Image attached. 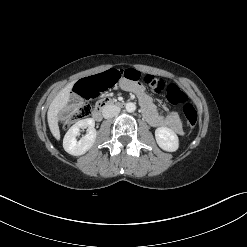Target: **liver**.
Segmentation results:
<instances>
[{
    "instance_id": "liver-1",
    "label": "liver",
    "mask_w": 247,
    "mask_h": 247,
    "mask_svg": "<svg viewBox=\"0 0 247 247\" xmlns=\"http://www.w3.org/2000/svg\"><path fill=\"white\" fill-rule=\"evenodd\" d=\"M74 82L68 83L60 92L56 95V97L51 102L48 112H47V120L50 131L56 140H60V130L58 126V114L59 112L67 105L70 98V92Z\"/></svg>"
}]
</instances>
